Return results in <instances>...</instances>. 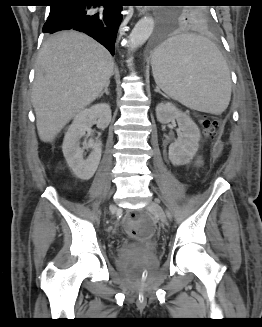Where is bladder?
<instances>
[{"label": "bladder", "mask_w": 262, "mask_h": 327, "mask_svg": "<svg viewBox=\"0 0 262 327\" xmlns=\"http://www.w3.org/2000/svg\"><path fill=\"white\" fill-rule=\"evenodd\" d=\"M139 254V251L135 248H131L127 250L123 256H121L118 260V266L119 268H122L124 265H126V261L132 260L135 257H137Z\"/></svg>", "instance_id": "obj_1"}]
</instances>
